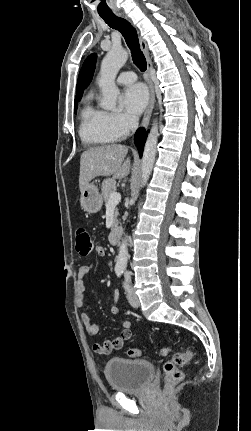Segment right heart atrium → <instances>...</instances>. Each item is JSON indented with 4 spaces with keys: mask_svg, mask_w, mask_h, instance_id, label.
Segmentation results:
<instances>
[{
    "mask_svg": "<svg viewBox=\"0 0 251 431\" xmlns=\"http://www.w3.org/2000/svg\"><path fill=\"white\" fill-rule=\"evenodd\" d=\"M108 126L114 136L119 139L136 126V120L126 113H108Z\"/></svg>",
    "mask_w": 251,
    "mask_h": 431,
    "instance_id": "d8ad5b80",
    "label": "right heart atrium"
}]
</instances>
